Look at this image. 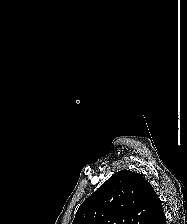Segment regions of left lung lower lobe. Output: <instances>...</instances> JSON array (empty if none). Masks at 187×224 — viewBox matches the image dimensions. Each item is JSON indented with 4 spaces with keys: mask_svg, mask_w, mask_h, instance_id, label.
<instances>
[{
    "mask_svg": "<svg viewBox=\"0 0 187 224\" xmlns=\"http://www.w3.org/2000/svg\"><path fill=\"white\" fill-rule=\"evenodd\" d=\"M150 224H166V216L162 208Z\"/></svg>",
    "mask_w": 187,
    "mask_h": 224,
    "instance_id": "1",
    "label": "left lung lower lobe"
}]
</instances>
